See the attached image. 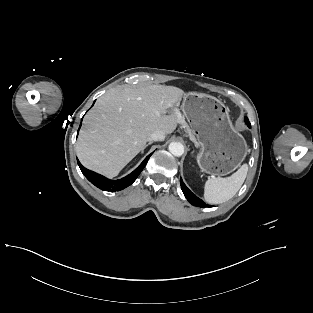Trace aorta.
<instances>
[{
    "label": "aorta",
    "instance_id": "aorta-1",
    "mask_svg": "<svg viewBox=\"0 0 313 313\" xmlns=\"http://www.w3.org/2000/svg\"><path fill=\"white\" fill-rule=\"evenodd\" d=\"M169 151L174 155V156H182L184 153V146L179 143V142H172L169 144Z\"/></svg>",
    "mask_w": 313,
    "mask_h": 313
}]
</instances>
